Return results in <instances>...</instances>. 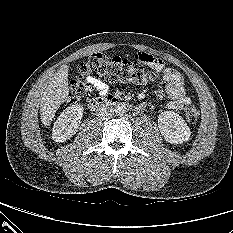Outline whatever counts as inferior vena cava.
I'll return each mask as SVG.
<instances>
[{"label": "inferior vena cava", "instance_id": "1", "mask_svg": "<svg viewBox=\"0 0 233 233\" xmlns=\"http://www.w3.org/2000/svg\"><path fill=\"white\" fill-rule=\"evenodd\" d=\"M113 113H114L113 107L103 104L97 108V112H96L97 116L103 119L111 117Z\"/></svg>", "mask_w": 233, "mask_h": 233}]
</instances>
